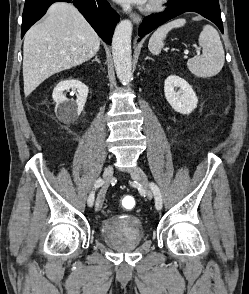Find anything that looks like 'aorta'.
<instances>
[{"mask_svg": "<svg viewBox=\"0 0 249 294\" xmlns=\"http://www.w3.org/2000/svg\"><path fill=\"white\" fill-rule=\"evenodd\" d=\"M133 25L129 20L118 23L112 38V55L116 74L123 85L132 79L131 36Z\"/></svg>", "mask_w": 249, "mask_h": 294, "instance_id": "aorta-1", "label": "aorta"}]
</instances>
